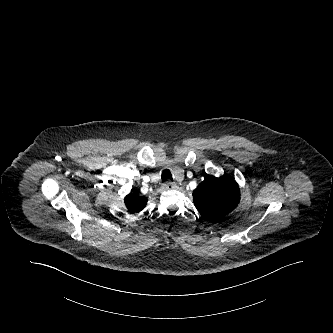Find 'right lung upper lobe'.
I'll use <instances>...</instances> for the list:
<instances>
[{"instance_id":"right-lung-upper-lobe-1","label":"right lung upper lobe","mask_w":333,"mask_h":333,"mask_svg":"<svg viewBox=\"0 0 333 333\" xmlns=\"http://www.w3.org/2000/svg\"><path fill=\"white\" fill-rule=\"evenodd\" d=\"M147 198L131 192L125 197V204L130 213H138L146 206Z\"/></svg>"}]
</instances>
